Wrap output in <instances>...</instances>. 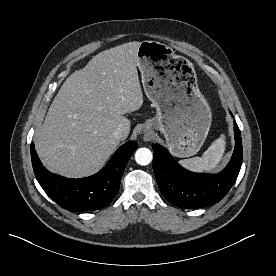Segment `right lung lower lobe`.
<instances>
[{"label": "right lung lower lobe", "instance_id": "right-lung-lower-lobe-1", "mask_svg": "<svg viewBox=\"0 0 276 276\" xmlns=\"http://www.w3.org/2000/svg\"><path fill=\"white\" fill-rule=\"evenodd\" d=\"M138 148L135 141L121 146L110 162L97 174L83 179H67L46 170L31 144L35 176L46 192L62 208L70 211L99 210L107 206L119 191L124 169Z\"/></svg>", "mask_w": 276, "mask_h": 276}]
</instances>
